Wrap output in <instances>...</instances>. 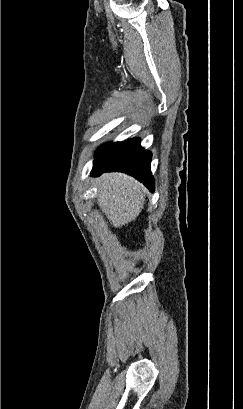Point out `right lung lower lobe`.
<instances>
[{
  "instance_id": "right-lung-lower-lobe-1",
  "label": "right lung lower lobe",
  "mask_w": 243,
  "mask_h": 409,
  "mask_svg": "<svg viewBox=\"0 0 243 409\" xmlns=\"http://www.w3.org/2000/svg\"><path fill=\"white\" fill-rule=\"evenodd\" d=\"M151 157V152L140 146L139 138L108 143L96 153L91 175L99 176L111 171L124 172L138 179L150 191H154V178L150 170Z\"/></svg>"
}]
</instances>
